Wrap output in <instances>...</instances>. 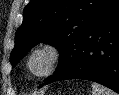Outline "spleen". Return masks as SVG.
<instances>
[{"instance_id":"1","label":"spleen","mask_w":119,"mask_h":95,"mask_svg":"<svg viewBox=\"0 0 119 95\" xmlns=\"http://www.w3.org/2000/svg\"><path fill=\"white\" fill-rule=\"evenodd\" d=\"M91 87L93 95H117L114 91L97 83H92Z\"/></svg>"}]
</instances>
